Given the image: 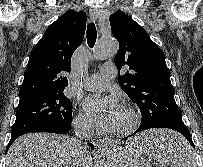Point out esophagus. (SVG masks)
<instances>
[{
    "instance_id": "1",
    "label": "esophagus",
    "mask_w": 203,
    "mask_h": 167,
    "mask_svg": "<svg viewBox=\"0 0 203 167\" xmlns=\"http://www.w3.org/2000/svg\"><path fill=\"white\" fill-rule=\"evenodd\" d=\"M89 14H90L91 18L94 20H97L100 15L99 10L96 8H91L89 10ZM111 147H112V142L110 140H108L106 138L99 139L98 144H97V148H98L99 152H101V153L108 152Z\"/></svg>"
}]
</instances>
